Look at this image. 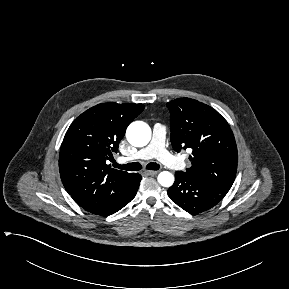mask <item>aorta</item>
<instances>
[{"label": "aorta", "instance_id": "aorta-1", "mask_svg": "<svg viewBox=\"0 0 289 289\" xmlns=\"http://www.w3.org/2000/svg\"><path fill=\"white\" fill-rule=\"evenodd\" d=\"M151 128L143 121L132 122L126 131L128 142L135 147L146 146L151 140ZM157 180L163 187H171L174 183V175L168 171L159 173Z\"/></svg>", "mask_w": 289, "mask_h": 289}]
</instances>
